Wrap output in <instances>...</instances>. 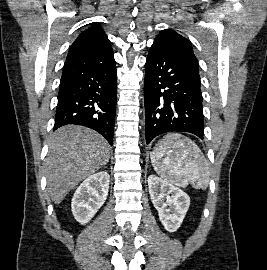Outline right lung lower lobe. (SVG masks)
Returning a JSON list of instances; mask_svg holds the SVG:
<instances>
[{"label": "right lung lower lobe", "mask_w": 267, "mask_h": 270, "mask_svg": "<svg viewBox=\"0 0 267 270\" xmlns=\"http://www.w3.org/2000/svg\"><path fill=\"white\" fill-rule=\"evenodd\" d=\"M117 74L111 44L67 59L59 86L54 130L76 124L113 143Z\"/></svg>", "instance_id": "right-lung-lower-lobe-1"}]
</instances>
